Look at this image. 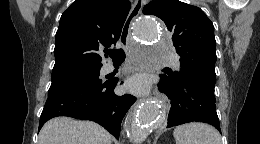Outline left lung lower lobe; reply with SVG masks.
Here are the masks:
<instances>
[{"label": "left lung lower lobe", "instance_id": "1", "mask_svg": "<svg viewBox=\"0 0 260 144\" xmlns=\"http://www.w3.org/2000/svg\"><path fill=\"white\" fill-rule=\"evenodd\" d=\"M166 74L160 75L158 87L170 100L167 128L188 122H205L220 130L214 86L193 75L175 81L171 74Z\"/></svg>", "mask_w": 260, "mask_h": 144}]
</instances>
